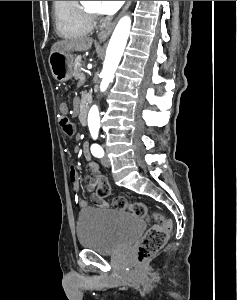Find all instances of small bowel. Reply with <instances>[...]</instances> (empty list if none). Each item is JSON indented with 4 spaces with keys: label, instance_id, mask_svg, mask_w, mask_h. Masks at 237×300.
I'll use <instances>...</instances> for the list:
<instances>
[{
    "label": "small bowel",
    "instance_id": "obj_1",
    "mask_svg": "<svg viewBox=\"0 0 237 300\" xmlns=\"http://www.w3.org/2000/svg\"><path fill=\"white\" fill-rule=\"evenodd\" d=\"M60 110L61 112L63 113H66L68 111V107L66 104H61L60 106ZM82 152L85 156L86 159H89L90 158V155H89V151H88V145L87 143H84L82 145ZM89 169L90 171L92 172H96L98 171L99 167L96 163L94 162H91L89 164ZM70 177H71V180L73 182V188H74V191L75 192H78L79 191V185H78V172L77 170L75 169L74 166L71 167V170H70ZM92 200L100 207H106L107 206V203L101 199H99L98 197L96 196H92Z\"/></svg>",
    "mask_w": 237,
    "mask_h": 300
}]
</instances>
